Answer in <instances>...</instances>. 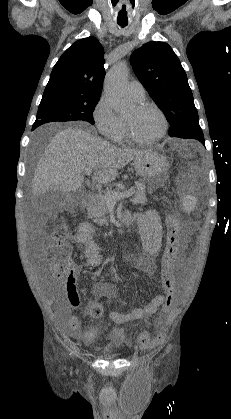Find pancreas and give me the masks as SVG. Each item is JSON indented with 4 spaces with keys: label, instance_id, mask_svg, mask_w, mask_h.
<instances>
[{
    "label": "pancreas",
    "instance_id": "obj_1",
    "mask_svg": "<svg viewBox=\"0 0 231 419\" xmlns=\"http://www.w3.org/2000/svg\"><path fill=\"white\" fill-rule=\"evenodd\" d=\"M135 191V196L131 200L133 204H146V190L145 187L141 188H132ZM113 193H118V190L109 191ZM112 203L107 199L106 195H97L92 205L88 206V217L92 218L94 223L99 225L107 224L108 219L106 215L109 213V208Z\"/></svg>",
    "mask_w": 231,
    "mask_h": 419
}]
</instances>
